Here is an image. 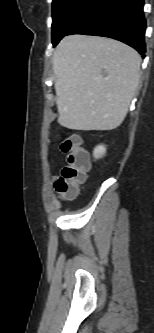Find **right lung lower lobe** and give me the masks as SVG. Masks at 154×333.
I'll list each match as a JSON object with an SVG mask.
<instances>
[{
    "mask_svg": "<svg viewBox=\"0 0 154 333\" xmlns=\"http://www.w3.org/2000/svg\"><path fill=\"white\" fill-rule=\"evenodd\" d=\"M143 0H100L67 35L104 36L124 42L145 55Z\"/></svg>",
    "mask_w": 154,
    "mask_h": 333,
    "instance_id": "98d812e1",
    "label": "right lung lower lobe"
}]
</instances>
